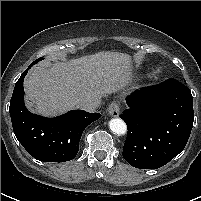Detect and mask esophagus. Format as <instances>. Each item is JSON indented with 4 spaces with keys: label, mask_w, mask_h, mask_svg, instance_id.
Segmentation results:
<instances>
[{
    "label": "esophagus",
    "mask_w": 201,
    "mask_h": 201,
    "mask_svg": "<svg viewBox=\"0 0 201 201\" xmlns=\"http://www.w3.org/2000/svg\"><path fill=\"white\" fill-rule=\"evenodd\" d=\"M109 114L113 117H118L120 113V105L117 102H112L108 107Z\"/></svg>",
    "instance_id": "34e87169"
}]
</instances>
